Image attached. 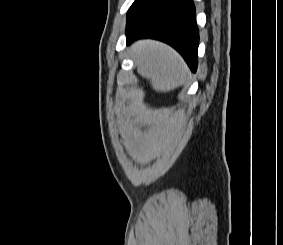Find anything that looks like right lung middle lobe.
Masks as SVG:
<instances>
[{
	"label": "right lung middle lobe",
	"mask_w": 283,
	"mask_h": 245,
	"mask_svg": "<svg viewBox=\"0 0 283 245\" xmlns=\"http://www.w3.org/2000/svg\"><path fill=\"white\" fill-rule=\"evenodd\" d=\"M152 1L153 0H135L128 10L127 21L132 19L136 14H138L143 8L149 5Z\"/></svg>",
	"instance_id": "obj_1"
}]
</instances>
